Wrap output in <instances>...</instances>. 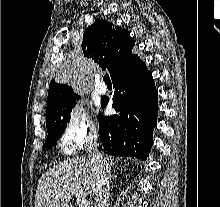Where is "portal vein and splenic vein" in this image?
I'll return each mask as SVG.
<instances>
[{"mask_svg":"<svg viewBox=\"0 0 220 207\" xmlns=\"http://www.w3.org/2000/svg\"><path fill=\"white\" fill-rule=\"evenodd\" d=\"M79 207H90V202L86 199H83L80 201Z\"/></svg>","mask_w":220,"mask_h":207,"instance_id":"1","label":"portal vein and splenic vein"}]
</instances>
